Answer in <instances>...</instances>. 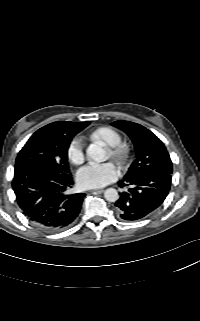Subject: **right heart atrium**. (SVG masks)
<instances>
[{
    "label": "right heart atrium",
    "instance_id": "right-heart-atrium-1",
    "mask_svg": "<svg viewBox=\"0 0 200 321\" xmlns=\"http://www.w3.org/2000/svg\"><path fill=\"white\" fill-rule=\"evenodd\" d=\"M67 155L73 164L79 165L83 163L85 159L84 143L80 138H74L70 141L67 148Z\"/></svg>",
    "mask_w": 200,
    "mask_h": 321
}]
</instances>
